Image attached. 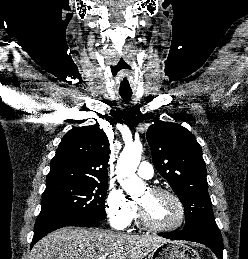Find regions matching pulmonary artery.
<instances>
[{
  "instance_id": "pulmonary-artery-1",
  "label": "pulmonary artery",
  "mask_w": 248,
  "mask_h": 259,
  "mask_svg": "<svg viewBox=\"0 0 248 259\" xmlns=\"http://www.w3.org/2000/svg\"><path fill=\"white\" fill-rule=\"evenodd\" d=\"M137 174L143 179H151L153 177V168L151 164L142 162L138 167Z\"/></svg>"
}]
</instances>
